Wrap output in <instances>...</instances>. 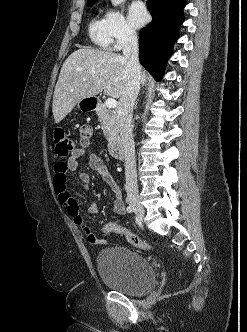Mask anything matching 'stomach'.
I'll return each instance as SVG.
<instances>
[{"label":"stomach","mask_w":247,"mask_h":332,"mask_svg":"<svg viewBox=\"0 0 247 332\" xmlns=\"http://www.w3.org/2000/svg\"><path fill=\"white\" fill-rule=\"evenodd\" d=\"M77 108L80 110L92 109V100L90 98H84L77 103Z\"/></svg>","instance_id":"stomach-1"}]
</instances>
